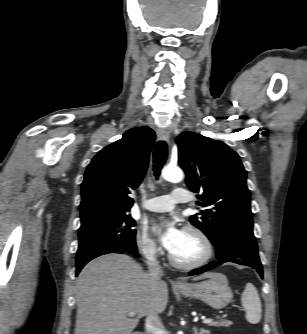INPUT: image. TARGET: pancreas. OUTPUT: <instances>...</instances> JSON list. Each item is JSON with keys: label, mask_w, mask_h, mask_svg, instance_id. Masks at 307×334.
Instances as JSON below:
<instances>
[{"label": "pancreas", "mask_w": 307, "mask_h": 334, "mask_svg": "<svg viewBox=\"0 0 307 334\" xmlns=\"http://www.w3.org/2000/svg\"><path fill=\"white\" fill-rule=\"evenodd\" d=\"M211 326H215V327H229L230 325H232V321H229V320H218V321H215V322H212L210 324Z\"/></svg>", "instance_id": "obj_1"}]
</instances>
